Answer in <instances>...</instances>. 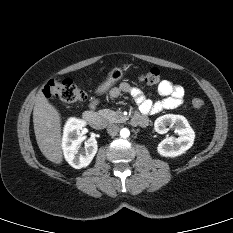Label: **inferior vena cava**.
Returning <instances> with one entry per match:
<instances>
[{
  "label": "inferior vena cava",
  "mask_w": 233,
  "mask_h": 233,
  "mask_svg": "<svg viewBox=\"0 0 233 233\" xmlns=\"http://www.w3.org/2000/svg\"><path fill=\"white\" fill-rule=\"evenodd\" d=\"M119 132V126L116 124H110L107 127V133L110 135H116Z\"/></svg>",
  "instance_id": "1"
}]
</instances>
